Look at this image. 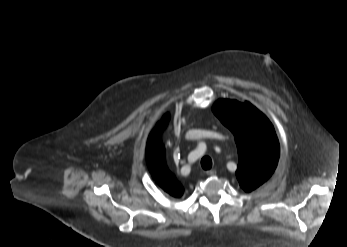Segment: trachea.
<instances>
[{"mask_svg": "<svg viewBox=\"0 0 347 247\" xmlns=\"http://www.w3.org/2000/svg\"><path fill=\"white\" fill-rule=\"evenodd\" d=\"M201 166L204 170H209L212 167V160L209 156H204L201 160Z\"/></svg>", "mask_w": 347, "mask_h": 247, "instance_id": "trachea-1", "label": "trachea"}]
</instances>
